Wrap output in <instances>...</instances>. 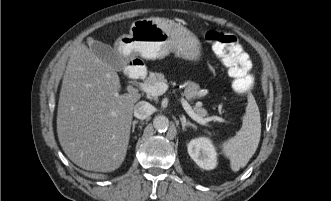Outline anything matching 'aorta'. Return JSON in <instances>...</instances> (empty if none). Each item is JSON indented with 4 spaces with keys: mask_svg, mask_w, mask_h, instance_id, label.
Wrapping results in <instances>:
<instances>
[{
    "mask_svg": "<svg viewBox=\"0 0 331 201\" xmlns=\"http://www.w3.org/2000/svg\"><path fill=\"white\" fill-rule=\"evenodd\" d=\"M154 128L159 132H165L169 127V120L164 115L156 116L153 120Z\"/></svg>",
    "mask_w": 331,
    "mask_h": 201,
    "instance_id": "obj_1",
    "label": "aorta"
}]
</instances>
